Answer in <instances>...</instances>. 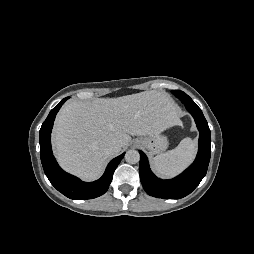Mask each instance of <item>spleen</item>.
<instances>
[{
	"label": "spleen",
	"mask_w": 254,
	"mask_h": 254,
	"mask_svg": "<svg viewBox=\"0 0 254 254\" xmlns=\"http://www.w3.org/2000/svg\"><path fill=\"white\" fill-rule=\"evenodd\" d=\"M196 151V141L187 137L175 149L153 157L152 168L161 177H174L193 161Z\"/></svg>",
	"instance_id": "obj_1"
}]
</instances>
